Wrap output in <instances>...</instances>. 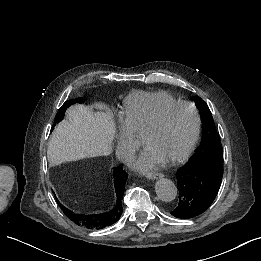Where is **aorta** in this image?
<instances>
[{"label": "aorta", "mask_w": 261, "mask_h": 261, "mask_svg": "<svg viewBox=\"0 0 261 261\" xmlns=\"http://www.w3.org/2000/svg\"><path fill=\"white\" fill-rule=\"evenodd\" d=\"M155 192L160 200L171 202L177 196V187L171 180L162 178L156 182Z\"/></svg>", "instance_id": "obj_1"}]
</instances>
